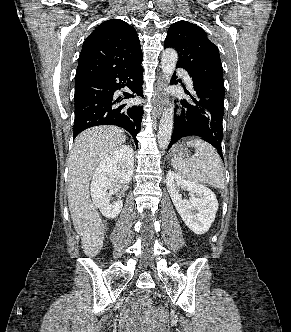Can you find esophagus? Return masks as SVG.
<instances>
[{
	"label": "esophagus",
	"instance_id": "34e87169",
	"mask_svg": "<svg viewBox=\"0 0 291 332\" xmlns=\"http://www.w3.org/2000/svg\"><path fill=\"white\" fill-rule=\"evenodd\" d=\"M164 88L165 79L162 75H160L156 85V96L154 97V114L156 117H159L163 110Z\"/></svg>",
	"mask_w": 291,
	"mask_h": 332
}]
</instances>
